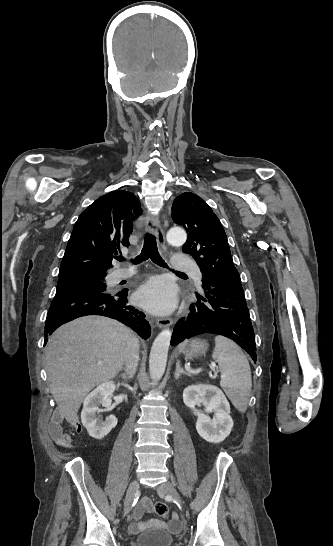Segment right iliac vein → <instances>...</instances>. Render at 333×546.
<instances>
[{"label": "right iliac vein", "mask_w": 333, "mask_h": 546, "mask_svg": "<svg viewBox=\"0 0 333 546\" xmlns=\"http://www.w3.org/2000/svg\"><path fill=\"white\" fill-rule=\"evenodd\" d=\"M139 482L137 480L131 482V484L129 485V488L127 490V493H126V499H125V504H124V511H125V514H127L130 510V506L133 502V499H134V496L135 494L137 493V491L139 490Z\"/></svg>", "instance_id": "63e3f726"}]
</instances>
